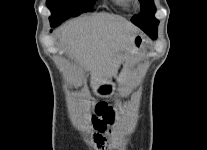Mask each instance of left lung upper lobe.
Listing matches in <instances>:
<instances>
[{
    "label": "left lung upper lobe",
    "mask_w": 207,
    "mask_h": 150,
    "mask_svg": "<svg viewBox=\"0 0 207 150\" xmlns=\"http://www.w3.org/2000/svg\"><path fill=\"white\" fill-rule=\"evenodd\" d=\"M141 4V11L135 15L131 20L140 27L148 35L157 34V26L159 21L154 17L156 8L153 0H139Z\"/></svg>",
    "instance_id": "obj_1"
}]
</instances>
